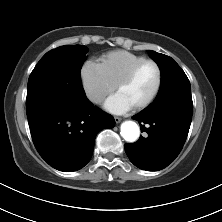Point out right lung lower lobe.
<instances>
[{"label":"right lung lower lobe","instance_id":"98d812e1","mask_svg":"<svg viewBox=\"0 0 222 222\" xmlns=\"http://www.w3.org/2000/svg\"><path fill=\"white\" fill-rule=\"evenodd\" d=\"M34 145L53 168L72 172L91 159L99 130L112 128L114 118L87 98L76 106L39 105L26 109Z\"/></svg>","mask_w":222,"mask_h":222}]
</instances>
